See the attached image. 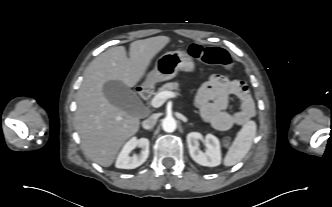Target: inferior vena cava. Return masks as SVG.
<instances>
[{"instance_id":"obj_1","label":"inferior vena cava","mask_w":332,"mask_h":207,"mask_svg":"<svg viewBox=\"0 0 332 207\" xmlns=\"http://www.w3.org/2000/svg\"><path fill=\"white\" fill-rule=\"evenodd\" d=\"M156 121H157V118L155 117V115H151L150 117H148L147 119H145L142 122V126L146 130L151 129L155 126Z\"/></svg>"}]
</instances>
